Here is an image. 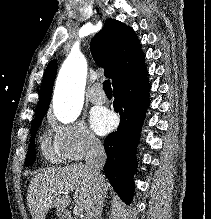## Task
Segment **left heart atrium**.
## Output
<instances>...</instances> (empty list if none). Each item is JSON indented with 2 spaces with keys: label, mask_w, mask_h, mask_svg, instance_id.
I'll return each instance as SVG.
<instances>
[{
  "label": "left heart atrium",
  "mask_w": 211,
  "mask_h": 219,
  "mask_svg": "<svg viewBox=\"0 0 211 219\" xmlns=\"http://www.w3.org/2000/svg\"><path fill=\"white\" fill-rule=\"evenodd\" d=\"M92 129L100 135L110 131L115 125V118L113 114L104 108H97L91 114Z\"/></svg>",
  "instance_id": "obj_1"
}]
</instances>
